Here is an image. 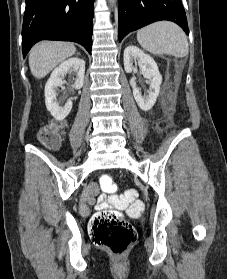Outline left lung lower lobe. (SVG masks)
Instances as JSON below:
<instances>
[{
	"instance_id": "1",
	"label": "left lung lower lobe",
	"mask_w": 227,
	"mask_h": 279,
	"mask_svg": "<svg viewBox=\"0 0 227 279\" xmlns=\"http://www.w3.org/2000/svg\"><path fill=\"white\" fill-rule=\"evenodd\" d=\"M118 3L119 42L128 33L160 20L175 22L189 34L181 0H118Z\"/></svg>"
}]
</instances>
